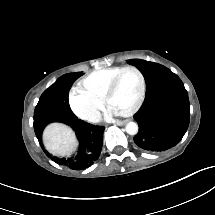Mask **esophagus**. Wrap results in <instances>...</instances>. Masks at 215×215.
I'll return each instance as SVG.
<instances>
[{
  "instance_id": "esophagus-1",
  "label": "esophagus",
  "mask_w": 215,
  "mask_h": 215,
  "mask_svg": "<svg viewBox=\"0 0 215 215\" xmlns=\"http://www.w3.org/2000/svg\"><path fill=\"white\" fill-rule=\"evenodd\" d=\"M128 121H129V120H124V121L120 122V124H121V125H124V124H126Z\"/></svg>"
}]
</instances>
